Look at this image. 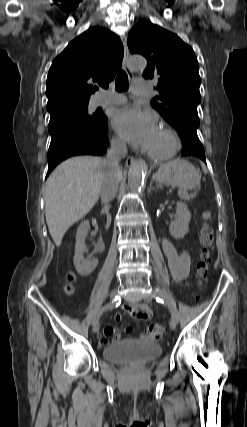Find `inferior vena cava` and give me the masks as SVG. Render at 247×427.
Masks as SVG:
<instances>
[{"label": "inferior vena cava", "instance_id": "1", "mask_svg": "<svg viewBox=\"0 0 247 427\" xmlns=\"http://www.w3.org/2000/svg\"><path fill=\"white\" fill-rule=\"evenodd\" d=\"M126 154L127 147L124 141H111V147L105 159L107 170L103 176L100 193L101 201L104 205L109 204V202L116 196L121 175L120 161L126 156Z\"/></svg>", "mask_w": 247, "mask_h": 427}]
</instances>
